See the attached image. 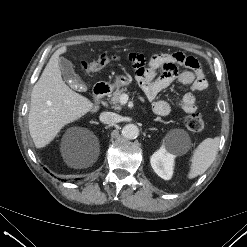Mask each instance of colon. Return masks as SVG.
I'll use <instances>...</instances> for the list:
<instances>
[{"instance_id":"colon-1","label":"colon","mask_w":247,"mask_h":247,"mask_svg":"<svg viewBox=\"0 0 247 247\" xmlns=\"http://www.w3.org/2000/svg\"><path fill=\"white\" fill-rule=\"evenodd\" d=\"M114 56L108 53H102L96 60L91 62H83L82 69L85 72H94L106 66ZM186 128L192 132H201L204 129V122L195 111L188 112L184 118Z\"/></svg>"}]
</instances>
